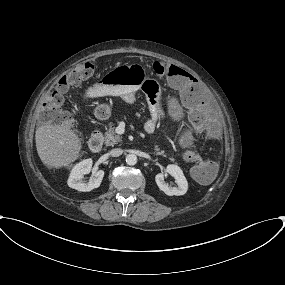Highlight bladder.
Instances as JSON below:
<instances>
[{
  "instance_id": "31cf9c89",
  "label": "bladder",
  "mask_w": 285,
  "mask_h": 285,
  "mask_svg": "<svg viewBox=\"0 0 285 285\" xmlns=\"http://www.w3.org/2000/svg\"><path fill=\"white\" fill-rule=\"evenodd\" d=\"M189 133H185L183 136H182V138H181V143L182 144H186V142L189 140L188 138H187V135H188Z\"/></svg>"
}]
</instances>
